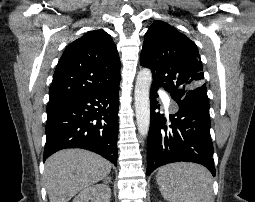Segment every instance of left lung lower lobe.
<instances>
[{
  "mask_svg": "<svg viewBox=\"0 0 255 202\" xmlns=\"http://www.w3.org/2000/svg\"><path fill=\"white\" fill-rule=\"evenodd\" d=\"M156 97L157 90L151 88L147 176L159 166L178 161L202 164L215 176L209 108L175 101L178 111L169 115L171 125L166 126L164 115L155 112Z\"/></svg>",
  "mask_w": 255,
  "mask_h": 202,
  "instance_id": "obj_1",
  "label": "left lung lower lobe"
}]
</instances>
